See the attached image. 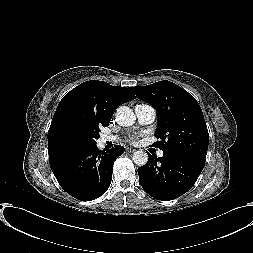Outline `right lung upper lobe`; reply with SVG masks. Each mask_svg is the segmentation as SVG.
Wrapping results in <instances>:
<instances>
[{
    "mask_svg": "<svg viewBox=\"0 0 253 253\" xmlns=\"http://www.w3.org/2000/svg\"><path fill=\"white\" fill-rule=\"evenodd\" d=\"M134 98L131 87L111 86L99 80L86 81L72 89L62 98L53 116L48 131L49 156L66 150L55 139L62 122L79 119L107 127L117 107Z\"/></svg>",
    "mask_w": 253,
    "mask_h": 253,
    "instance_id": "obj_1",
    "label": "right lung upper lobe"
}]
</instances>
